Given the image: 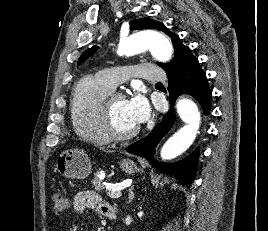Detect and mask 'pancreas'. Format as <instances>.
<instances>
[{
    "mask_svg": "<svg viewBox=\"0 0 268 231\" xmlns=\"http://www.w3.org/2000/svg\"><path fill=\"white\" fill-rule=\"evenodd\" d=\"M92 184L97 191H103L105 188H107L106 180L100 178V172H97L95 174V177L92 180Z\"/></svg>",
    "mask_w": 268,
    "mask_h": 231,
    "instance_id": "1",
    "label": "pancreas"
}]
</instances>
